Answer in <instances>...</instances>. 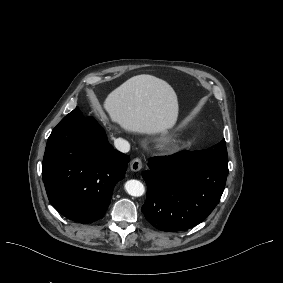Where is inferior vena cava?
Instances as JSON below:
<instances>
[{
    "label": "inferior vena cava",
    "mask_w": 283,
    "mask_h": 283,
    "mask_svg": "<svg viewBox=\"0 0 283 283\" xmlns=\"http://www.w3.org/2000/svg\"><path fill=\"white\" fill-rule=\"evenodd\" d=\"M115 147L122 153H127L130 150V144L128 141L118 138L114 141Z\"/></svg>",
    "instance_id": "obj_1"
}]
</instances>
